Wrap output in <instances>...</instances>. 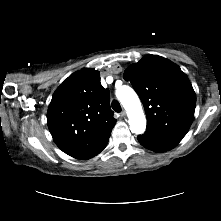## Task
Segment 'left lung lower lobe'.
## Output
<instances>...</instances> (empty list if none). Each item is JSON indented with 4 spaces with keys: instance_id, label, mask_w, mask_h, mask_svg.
I'll return each instance as SVG.
<instances>
[{
    "instance_id": "obj_1",
    "label": "left lung lower lobe",
    "mask_w": 221,
    "mask_h": 221,
    "mask_svg": "<svg viewBox=\"0 0 221 221\" xmlns=\"http://www.w3.org/2000/svg\"><path fill=\"white\" fill-rule=\"evenodd\" d=\"M185 136L183 133L160 131L147 128L143 135L137 137L139 143L155 152H164L174 148Z\"/></svg>"
}]
</instances>
